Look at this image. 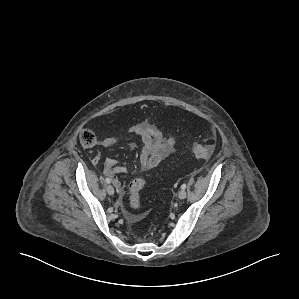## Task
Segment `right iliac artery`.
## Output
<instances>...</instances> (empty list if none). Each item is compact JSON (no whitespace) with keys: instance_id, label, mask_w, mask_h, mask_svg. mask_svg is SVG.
I'll use <instances>...</instances> for the list:
<instances>
[{"instance_id":"obj_1","label":"right iliac artery","mask_w":299,"mask_h":299,"mask_svg":"<svg viewBox=\"0 0 299 299\" xmlns=\"http://www.w3.org/2000/svg\"><path fill=\"white\" fill-rule=\"evenodd\" d=\"M105 181H106V183H108V184L111 182V180H110L109 178H106Z\"/></svg>"}]
</instances>
